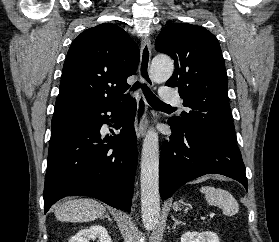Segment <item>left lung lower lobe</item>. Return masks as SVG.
Masks as SVG:
<instances>
[{
    "label": "left lung lower lobe",
    "mask_w": 279,
    "mask_h": 242,
    "mask_svg": "<svg viewBox=\"0 0 279 242\" xmlns=\"http://www.w3.org/2000/svg\"><path fill=\"white\" fill-rule=\"evenodd\" d=\"M164 142L159 164L161 198H169L186 182L205 174H222L239 181L247 190V178L236 143L211 135L193 136L176 128Z\"/></svg>",
    "instance_id": "obj_1"
}]
</instances>
